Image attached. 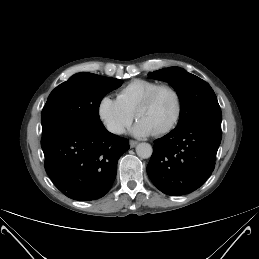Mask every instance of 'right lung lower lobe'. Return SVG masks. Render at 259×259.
<instances>
[{
	"label": "right lung lower lobe",
	"mask_w": 259,
	"mask_h": 259,
	"mask_svg": "<svg viewBox=\"0 0 259 259\" xmlns=\"http://www.w3.org/2000/svg\"><path fill=\"white\" fill-rule=\"evenodd\" d=\"M45 170L67 197L94 201L111 188L117 162L129 147L104 126H63L43 133Z\"/></svg>",
	"instance_id": "98d812e1"
}]
</instances>
